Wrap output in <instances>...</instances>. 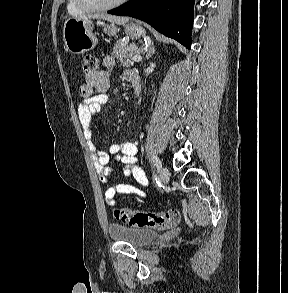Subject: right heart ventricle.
I'll use <instances>...</instances> for the list:
<instances>
[{"mask_svg":"<svg viewBox=\"0 0 288 293\" xmlns=\"http://www.w3.org/2000/svg\"><path fill=\"white\" fill-rule=\"evenodd\" d=\"M67 11L70 15L81 16L86 13L85 10L81 9L75 2V0H67Z\"/></svg>","mask_w":288,"mask_h":293,"instance_id":"obj_1","label":"right heart ventricle"}]
</instances>
